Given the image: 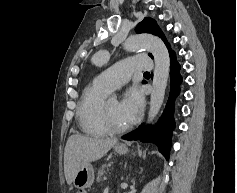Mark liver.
Returning <instances> with one entry per match:
<instances>
[{"instance_id": "obj_1", "label": "liver", "mask_w": 237, "mask_h": 193, "mask_svg": "<svg viewBox=\"0 0 237 193\" xmlns=\"http://www.w3.org/2000/svg\"><path fill=\"white\" fill-rule=\"evenodd\" d=\"M116 138H98L74 134L66 143L64 173L70 185L77 171L84 165L101 159L116 143Z\"/></svg>"}]
</instances>
